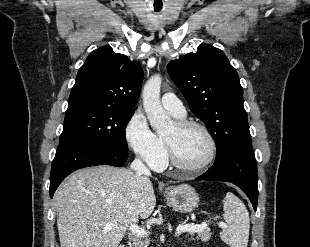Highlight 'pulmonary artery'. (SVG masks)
<instances>
[{
    "mask_svg": "<svg viewBox=\"0 0 310 247\" xmlns=\"http://www.w3.org/2000/svg\"><path fill=\"white\" fill-rule=\"evenodd\" d=\"M161 104L169 113L175 117H183L185 115V108L182 102L173 93L163 94L161 97Z\"/></svg>",
    "mask_w": 310,
    "mask_h": 247,
    "instance_id": "e3ab8cb5",
    "label": "pulmonary artery"
}]
</instances>
